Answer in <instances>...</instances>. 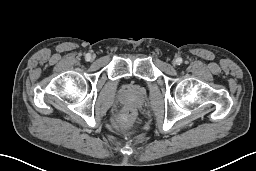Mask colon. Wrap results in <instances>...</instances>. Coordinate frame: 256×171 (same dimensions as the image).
Listing matches in <instances>:
<instances>
[{"label":"colon","instance_id":"1","mask_svg":"<svg viewBox=\"0 0 256 171\" xmlns=\"http://www.w3.org/2000/svg\"><path fill=\"white\" fill-rule=\"evenodd\" d=\"M135 111L132 108L123 109L117 116V121L121 126H130L135 122Z\"/></svg>","mask_w":256,"mask_h":171}]
</instances>
